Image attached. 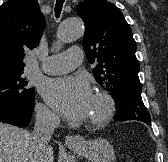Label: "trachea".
I'll return each mask as SVG.
<instances>
[{
	"instance_id": "obj_1",
	"label": "trachea",
	"mask_w": 168,
	"mask_h": 162,
	"mask_svg": "<svg viewBox=\"0 0 168 162\" xmlns=\"http://www.w3.org/2000/svg\"><path fill=\"white\" fill-rule=\"evenodd\" d=\"M65 0H56L55 5V16L58 18L60 16V13L62 11L63 3Z\"/></svg>"
}]
</instances>
